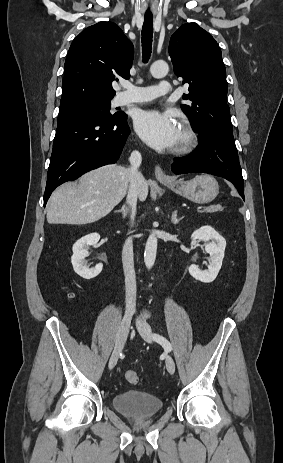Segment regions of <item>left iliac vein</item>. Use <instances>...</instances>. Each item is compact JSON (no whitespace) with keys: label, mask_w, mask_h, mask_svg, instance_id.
I'll use <instances>...</instances> for the list:
<instances>
[{"label":"left iliac vein","mask_w":283,"mask_h":463,"mask_svg":"<svg viewBox=\"0 0 283 463\" xmlns=\"http://www.w3.org/2000/svg\"><path fill=\"white\" fill-rule=\"evenodd\" d=\"M137 329L142 336V338L147 342H152V329L151 326L144 320L137 319L136 321ZM166 368L170 374L175 372V362L171 356L166 357Z\"/></svg>","instance_id":"4c4485c4"}]
</instances>
